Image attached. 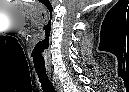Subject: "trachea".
<instances>
[{"label": "trachea", "mask_w": 129, "mask_h": 92, "mask_svg": "<svg viewBox=\"0 0 129 92\" xmlns=\"http://www.w3.org/2000/svg\"><path fill=\"white\" fill-rule=\"evenodd\" d=\"M39 81L41 83L42 89L44 92H56L55 88L53 87L47 73L45 71H37Z\"/></svg>", "instance_id": "3493384b"}]
</instances>
